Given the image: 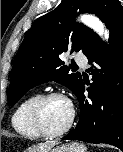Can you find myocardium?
Returning a JSON list of instances; mask_svg holds the SVG:
<instances>
[{"mask_svg": "<svg viewBox=\"0 0 123 152\" xmlns=\"http://www.w3.org/2000/svg\"><path fill=\"white\" fill-rule=\"evenodd\" d=\"M55 98H61L68 101L71 107V114H70V118L68 122L66 123L64 127L56 131H51L46 127L44 123L43 108L49 100L55 99ZM74 119H75V111H74L72 103L64 94L60 92H56V91H52V92H48L43 95H40L37 98V100L34 102L30 110L31 124L34 127V129L43 137L54 138V137H59L65 134L73 125Z\"/></svg>", "mask_w": 123, "mask_h": 152, "instance_id": "myocardium-1", "label": "myocardium"}]
</instances>
